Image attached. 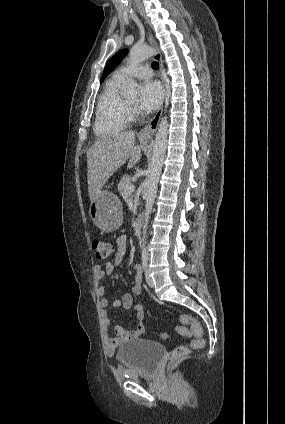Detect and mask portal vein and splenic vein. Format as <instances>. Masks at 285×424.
Returning a JSON list of instances; mask_svg holds the SVG:
<instances>
[{"label": "portal vein and splenic vein", "mask_w": 285, "mask_h": 424, "mask_svg": "<svg viewBox=\"0 0 285 424\" xmlns=\"http://www.w3.org/2000/svg\"><path fill=\"white\" fill-rule=\"evenodd\" d=\"M134 190H135V186H134V185H131V186L129 187V191H130V193L134 192Z\"/></svg>", "instance_id": "portal-vein-and-splenic-vein-1"}]
</instances>
